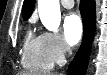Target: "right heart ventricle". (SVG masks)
Wrapping results in <instances>:
<instances>
[{"instance_id": "1", "label": "right heart ventricle", "mask_w": 107, "mask_h": 75, "mask_svg": "<svg viewBox=\"0 0 107 75\" xmlns=\"http://www.w3.org/2000/svg\"><path fill=\"white\" fill-rule=\"evenodd\" d=\"M22 66L30 71L47 72L53 68L42 36L35 35L31 30L26 32L22 48Z\"/></svg>"}]
</instances>
